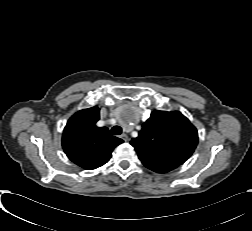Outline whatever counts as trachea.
I'll list each match as a JSON object with an SVG mask.
<instances>
[{
    "label": "trachea",
    "instance_id": "1",
    "mask_svg": "<svg viewBox=\"0 0 252 231\" xmlns=\"http://www.w3.org/2000/svg\"><path fill=\"white\" fill-rule=\"evenodd\" d=\"M113 135H120L122 133V128L120 126H114L111 129Z\"/></svg>",
    "mask_w": 252,
    "mask_h": 231
}]
</instances>
